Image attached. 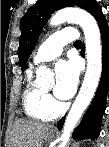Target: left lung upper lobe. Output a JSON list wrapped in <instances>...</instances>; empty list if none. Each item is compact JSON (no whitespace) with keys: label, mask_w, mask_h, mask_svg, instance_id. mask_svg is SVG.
Listing matches in <instances>:
<instances>
[{"label":"left lung upper lobe","mask_w":109,"mask_h":147,"mask_svg":"<svg viewBox=\"0 0 109 147\" xmlns=\"http://www.w3.org/2000/svg\"><path fill=\"white\" fill-rule=\"evenodd\" d=\"M95 0H39L21 19L18 56L22 70L31 54L41 30L51 14L64 7L78 6L89 13L97 6Z\"/></svg>","instance_id":"left-lung-upper-lobe-1"}]
</instances>
